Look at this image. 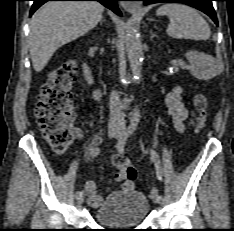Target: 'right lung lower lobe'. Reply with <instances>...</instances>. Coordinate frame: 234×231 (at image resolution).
<instances>
[{"label": "right lung lower lobe", "mask_w": 234, "mask_h": 231, "mask_svg": "<svg viewBox=\"0 0 234 231\" xmlns=\"http://www.w3.org/2000/svg\"><path fill=\"white\" fill-rule=\"evenodd\" d=\"M30 16L44 3L47 1H98L102 3L105 7L111 9L113 12L121 16V12L117 7V1L119 0H33Z\"/></svg>", "instance_id": "obj_1"}]
</instances>
